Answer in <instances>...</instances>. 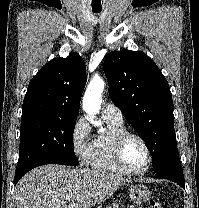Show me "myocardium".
Listing matches in <instances>:
<instances>
[{"label": "myocardium", "mask_w": 199, "mask_h": 208, "mask_svg": "<svg viewBox=\"0 0 199 208\" xmlns=\"http://www.w3.org/2000/svg\"><path fill=\"white\" fill-rule=\"evenodd\" d=\"M129 138L139 140L144 146L147 153V161L140 169H132L127 166L123 157V149ZM113 155L116 164L128 174H141L145 172L152 163V152L147 141L138 133L125 131L117 136L113 144Z\"/></svg>", "instance_id": "f54148a6"}]
</instances>
